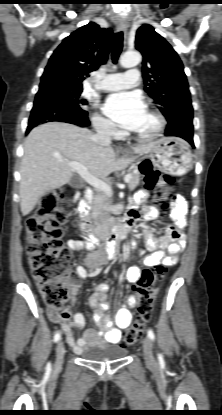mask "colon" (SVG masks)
<instances>
[{
	"label": "colon",
	"instance_id": "colon-1",
	"mask_svg": "<svg viewBox=\"0 0 222 415\" xmlns=\"http://www.w3.org/2000/svg\"><path fill=\"white\" fill-rule=\"evenodd\" d=\"M141 170L146 190L152 191L174 182L171 176L161 175L148 164H143ZM61 196L60 188L45 194L38 209L26 223L27 253L33 277L47 306L56 310L64 306L75 287L72 271L74 256L62 241V226L66 222V215L58 209ZM167 205L163 204L162 208H166ZM72 223L82 237L89 240V230L83 226V222L76 218ZM163 272V267L144 269L141 272L135 286L139 295L136 321L134 326L126 331L124 345H132L143 333L154 308L153 285Z\"/></svg>",
	"mask_w": 222,
	"mask_h": 415
}]
</instances>
